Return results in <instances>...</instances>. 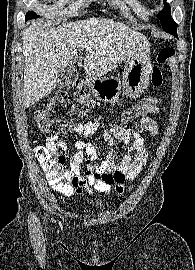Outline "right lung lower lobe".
I'll return each instance as SVG.
<instances>
[{
    "mask_svg": "<svg viewBox=\"0 0 195 270\" xmlns=\"http://www.w3.org/2000/svg\"><path fill=\"white\" fill-rule=\"evenodd\" d=\"M35 17H37L36 14H26L25 21H28V20L33 19V18H35Z\"/></svg>",
    "mask_w": 195,
    "mask_h": 270,
    "instance_id": "98d812e1",
    "label": "right lung lower lobe"
}]
</instances>
